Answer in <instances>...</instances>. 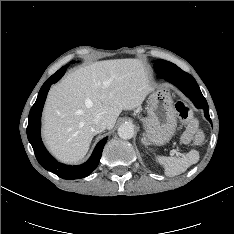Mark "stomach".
I'll list each match as a JSON object with an SVG mask.
<instances>
[{
    "label": "stomach",
    "mask_w": 234,
    "mask_h": 234,
    "mask_svg": "<svg viewBox=\"0 0 234 234\" xmlns=\"http://www.w3.org/2000/svg\"><path fill=\"white\" fill-rule=\"evenodd\" d=\"M145 129L143 143L164 145L173 137L177 127V113L168 87H159L149 96L147 117L142 119Z\"/></svg>",
    "instance_id": "1"
}]
</instances>
